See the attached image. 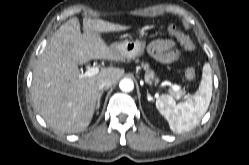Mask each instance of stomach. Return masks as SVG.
Listing matches in <instances>:
<instances>
[{
	"label": "stomach",
	"mask_w": 249,
	"mask_h": 165,
	"mask_svg": "<svg viewBox=\"0 0 249 165\" xmlns=\"http://www.w3.org/2000/svg\"><path fill=\"white\" fill-rule=\"evenodd\" d=\"M111 48L121 55L135 58L144 53L146 49V41L141 39L125 40L112 44Z\"/></svg>",
	"instance_id": "obj_1"
}]
</instances>
